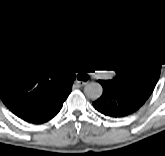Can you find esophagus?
Masks as SVG:
<instances>
[{
  "label": "esophagus",
  "instance_id": "esophagus-1",
  "mask_svg": "<svg viewBox=\"0 0 165 156\" xmlns=\"http://www.w3.org/2000/svg\"><path fill=\"white\" fill-rule=\"evenodd\" d=\"M85 84H87V82H84V81H75L74 86L81 87V86H84Z\"/></svg>",
  "mask_w": 165,
  "mask_h": 156
}]
</instances>
